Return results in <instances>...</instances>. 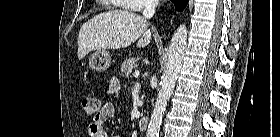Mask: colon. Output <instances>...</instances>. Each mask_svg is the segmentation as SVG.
<instances>
[{"label": "colon", "mask_w": 280, "mask_h": 137, "mask_svg": "<svg viewBox=\"0 0 280 137\" xmlns=\"http://www.w3.org/2000/svg\"><path fill=\"white\" fill-rule=\"evenodd\" d=\"M82 107L86 114L96 115L99 112V101L93 97H84Z\"/></svg>", "instance_id": "colon-1"}]
</instances>
